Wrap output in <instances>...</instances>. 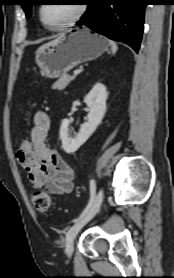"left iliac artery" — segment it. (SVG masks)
<instances>
[{
  "label": "left iliac artery",
  "instance_id": "1",
  "mask_svg": "<svg viewBox=\"0 0 174 278\" xmlns=\"http://www.w3.org/2000/svg\"><path fill=\"white\" fill-rule=\"evenodd\" d=\"M95 193H96V182L94 179L90 180V200L88 205L86 206V208L84 209V211L82 212V214L79 216L78 219L74 220V222H77L79 219H81L89 210V208L91 207L94 198H95Z\"/></svg>",
  "mask_w": 174,
  "mask_h": 278
}]
</instances>
